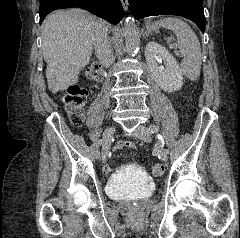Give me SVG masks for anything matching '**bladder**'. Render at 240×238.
Segmentation results:
<instances>
[{
	"mask_svg": "<svg viewBox=\"0 0 240 238\" xmlns=\"http://www.w3.org/2000/svg\"><path fill=\"white\" fill-rule=\"evenodd\" d=\"M155 188L153 180L137 165L121 167L108 182V195L116 200L143 199Z\"/></svg>",
	"mask_w": 240,
	"mask_h": 238,
	"instance_id": "obj_1",
	"label": "bladder"
}]
</instances>
